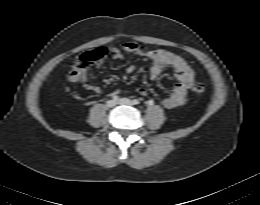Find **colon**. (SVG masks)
Instances as JSON below:
<instances>
[{"label": "colon", "mask_w": 260, "mask_h": 205, "mask_svg": "<svg viewBox=\"0 0 260 205\" xmlns=\"http://www.w3.org/2000/svg\"><path fill=\"white\" fill-rule=\"evenodd\" d=\"M107 53L106 48L99 47L90 51H86L78 56L76 59L75 65L78 68L86 69L88 68L93 62L100 60L105 57ZM206 86L203 83H194L191 87L192 94L196 96H201L205 93Z\"/></svg>", "instance_id": "5ec220e1"}]
</instances>
